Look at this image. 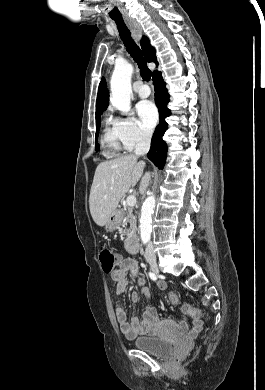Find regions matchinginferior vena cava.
<instances>
[{
  "label": "inferior vena cava",
  "mask_w": 265,
  "mask_h": 390,
  "mask_svg": "<svg viewBox=\"0 0 265 390\" xmlns=\"http://www.w3.org/2000/svg\"><path fill=\"white\" fill-rule=\"evenodd\" d=\"M151 136L152 135L149 132H141L140 133L138 142H137L136 147H135V154L137 156L145 155L148 153V151L150 149ZM149 180H150V175H149V173H146L142 179L140 190H144L147 187ZM145 256L146 257L155 256L154 247H153L151 242L148 243V245L146 247Z\"/></svg>",
  "instance_id": "602c4592"
}]
</instances>
